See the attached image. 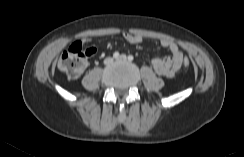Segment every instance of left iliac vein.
<instances>
[{
	"mask_svg": "<svg viewBox=\"0 0 244 157\" xmlns=\"http://www.w3.org/2000/svg\"><path fill=\"white\" fill-rule=\"evenodd\" d=\"M116 60H118V61H127V57H126V55H121V56H119Z\"/></svg>",
	"mask_w": 244,
	"mask_h": 157,
	"instance_id": "1",
	"label": "left iliac vein"
}]
</instances>
